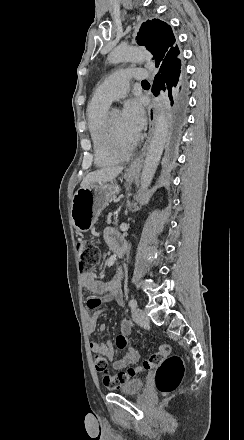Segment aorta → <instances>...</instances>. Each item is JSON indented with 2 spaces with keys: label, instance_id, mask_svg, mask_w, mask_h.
<instances>
[{
  "label": "aorta",
  "instance_id": "aorta-1",
  "mask_svg": "<svg viewBox=\"0 0 244 440\" xmlns=\"http://www.w3.org/2000/svg\"><path fill=\"white\" fill-rule=\"evenodd\" d=\"M151 59V54L139 47H118L109 55L112 63L122 61H147ZM168 95L161 92L158 102L157 117L154 130L147 149L146 158L141 175V190H147L154 177L159 161L161 159L168 133Z\"/></svg>",
  "mask_w": 244,
  "mask_h": 440
}]
</instances>
